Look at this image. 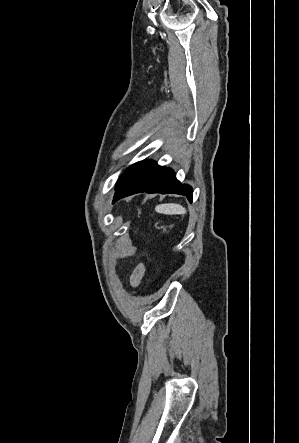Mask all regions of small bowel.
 <instances>
[{"label": "small bowel", "mask_w": 299, "mask_h": 443, "mask_svg": "<svg viewBox=\"0 0 299 443\" xmlns=\"http://www.w3.org/2000/svg\"><path fill=\"white\" fill-rule=\"evenodd\" d=\"M147 273V268L145 263H139L134 270L132 271L129 283L132 288H138L140 287L145 275Z\"/></svg>", "instance_id": "obj_1"}]
</instances>
